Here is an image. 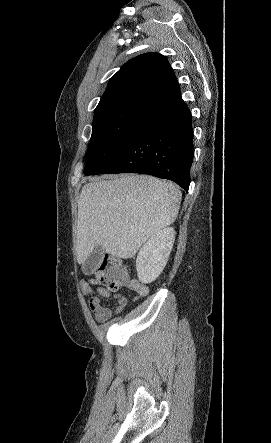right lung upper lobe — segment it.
Segmentation results:
<instances>
[{"instance_id":"obj_1","label":"right lung upper lobe","mask_w":271,"mask_h":443,"mask_svg":"<svg viewBox=\"0 0 271 443\" xmlns=\"http://www.w3.org/2000/svg\"><path fill=\"white\" fill-rule=\"evenodd\" d=\"M180 94L167 59L158 53H145L126 62L111 77L98 106L129 99L155 104Z\"/></svg>"}]
</instances>
